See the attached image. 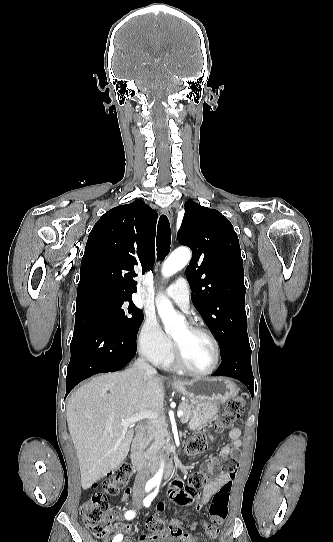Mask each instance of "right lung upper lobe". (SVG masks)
Wrapping results in <instances>:
<instances>
[{
	"mask_svg": "<svg viewBox=\"0 0 333 542\" xmlns=\"http://www.w3.org/2000/svg\"><path fill=\"white\" fill-rule=\"evenodd\" d=\"M157 217L140 199L101 216L89 234L81 260L77 304L95 294L132 302L135 271L144 273L155 262Z\"/></svg>",
	"mask_w": 333,
	"mask_h": 542,
	"instance_id": "1",
	"label": "right lung upper lobe"
}]
</instances>
